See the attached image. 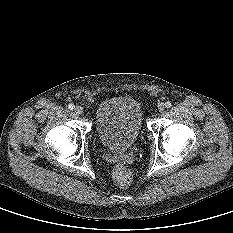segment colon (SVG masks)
I'll return each instance as SVG.
<instances>
[{
    "instance_id": "obj_1",
    "label": "colon",
    "mask_w": 233,
    "mask_h": 233,
    "mask_svg": "<svg viewBox=\"0 0 233 233\" xmlns=\"http://www.w3.org/2000/svg\"><path fill=\"white\" fill-rule=\"evenodd\" d=\"M113 177L117 184L126 186L131 181V172L125 165L119 164L114 169Z\"/></svg>"
}]
</instances>
